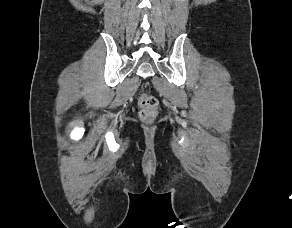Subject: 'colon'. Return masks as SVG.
Segmentation results:
<instances>
[{
	"mask_svg": "<svg viewBox=\"0 0 292 228\" xmlns=\"http://www.w3.org/2000/svg\"><path fill=\"white\" fill-rule=\"evenodd\" d=\"M139 106L141 108L140 117L144 121H151L156 116L158 100L152 95L143 93L139 97Z\"/></svg>",
	"mask_w": 292,
	"mask_h": 228,
	"instance_id": "colon-1",
	"label": "colon"
}]
</instances>
